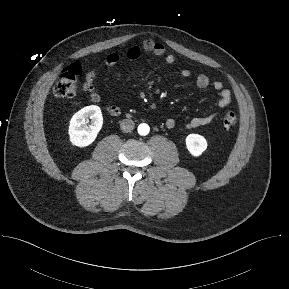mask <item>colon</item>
Listing matches in <instances>:
<instances>
[{"mask_svg": "<svg viewBox=\"0 0 289 289\" xmlns=\"http://www.w3.org/2000/svg\"><path fill=\"white\" fill-rule=\"evenodd\" d=\"M81 71L82 69L78 64L66 67L54 85L53 94L57 97L66 98L75 96L79 89L78 77ZM222 122L226 129L232 128L237 123V116L233 111H228L225 113Z\"/></svg>", "mask_w": 289, "mask_h": 289, "instance_id": "1", "label": "colon"}]
</instances>
